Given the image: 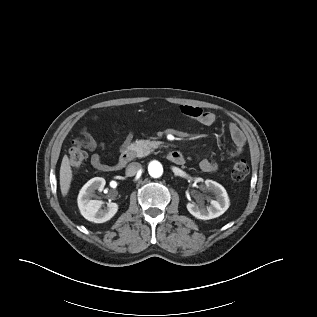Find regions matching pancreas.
Listing matches in <instances>:
<instances>
[{
  "mask_svg": "<svg viewBox=\"0 0 317 317\" xmlns=\"http://www.w3.org/2000/svg\"><path fill=\"white\" fill-rule=\"evenodd\" d=\"M161 142L150 140H137L128 146V153L132 159L142 158L150 154L155 148H158Z\"/></svg>",
  "mask_w": 317,
  "mask_h": 317,
  "instance_id": "cf45deb5",
  "label": "pancreas"
}]
</instances>
